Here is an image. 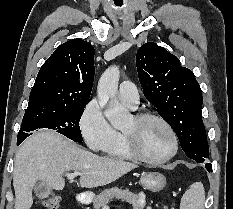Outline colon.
<instances>
[{
	"instance_id": "colon-1",
	"label": "colon",
	"mask_w": 233,
	"mask_h": 209,
	"mask_svg": "<svg viewBox=\"0 0 233 209\" xmlns=\"http://www.w3.org/2000/svg\"><path fill=\"white\" fill-rule=\"evenodd\" d=\"M59 198L50 197L43 201L42 205L45 209H58L59 208Z\"/></svg>"
}]
</instances>
